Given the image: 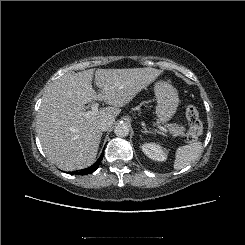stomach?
<instances>
[{
	"label": "stomach",
	"mask_w": 245,
	"mask_h": 245,
	"mask_svg": "<svg viewBox=\"0 0 245 245\" xmlns=\"http://www.w3.org/2000/svg\"><path fill=\"white\" fill-rule=\"evenodd\" d=\"M157 99L156 116L159 123L168 122L176 113L179 104L178 92L170 83L159 81L155 84Z\"/></svg>",
	"instance_id": "0dacf381"
}]
</instances>
